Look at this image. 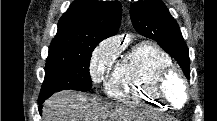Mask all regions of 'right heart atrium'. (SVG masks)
Here are the masks:
<instances>
[{
    "instance_id": "1",
    "label": "right heart atrium",
    "mask_w": 217,
    "mask_h": 121,
    "mask_svg": "<svg viewBox=\"0 0 217 121\" xmlns=\"http://www.w3.org/2000/svg\"><path fill=\"white\" fill-rule=\"evenodd\" d=\"M118 47L113 39L103 41L93 52L89 71L94 82H99L114 62Z\"/></svg>"
}]
</instances>
